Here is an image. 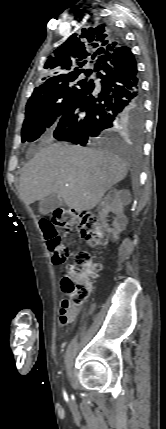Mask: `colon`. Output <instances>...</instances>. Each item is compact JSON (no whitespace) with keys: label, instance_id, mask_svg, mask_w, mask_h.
I'll use <instances>...</instances> for the list:
<instances>
[{"label":"colon","instance_id":"colon-1","mask_svg":"<svg viewBox=\"0 0 166 429\" xmlns=\"http://www.w3.org/2000/svg\"><path fill=\"white\" fill-rule=\"evenodd\" d=\"M40 225L54 264H62L70 257V251L60 237L57 227L77 228L80 236L92 246L101 245L107 241L98 217L87 211L60 208L54 211L51 220L42 219ZM74 259L75 266L65 274L61 287L69 296L71 304L79 306L91 293L90 280L97 276L101 265L94 263L85 251L78 252Z\"/></svg>","mask_w":166,"mask_h":429}]
</instances>
